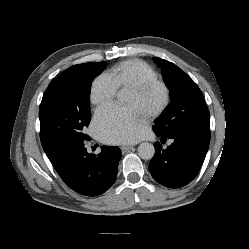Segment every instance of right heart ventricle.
Here are the masks:
<instances>
[{
  "label": "right heart ventricle",
  "mask_w": 249,
  "mask_h": 249,
  "mask_svg": "<svg viewBox=\"0 0 249 249\" xmlns=\"http://www.w3.org/2000/svg\"><path fill=\"white\" fill-rule=\"evenodd\" d=\"M109 75L118 88H131L143 81L158 77L147 63L137 59L121 62L109 72Z\"/></svg>",
  "instance_id": "1"
}]
</instances>
